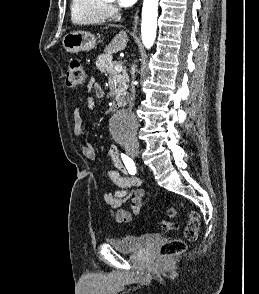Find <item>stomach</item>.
Segmentation results:
<instances>
[{
	"label": "stomach",
	"instance_id": "0dacf381",
	"mask_svg": "<svg viewBox=\"0 0 259 294\" xmlns=\"http://www.w3.org/2000/svg\"><path fill=\"white\" fill-rule=\"evenodd\" d=\"M64 49L69 53L90 51L96 47V37L85 31H72L62 41Z\"/></svg>",
	"mask_w": 259,
	"mask_h": 294
}]
</instances>
